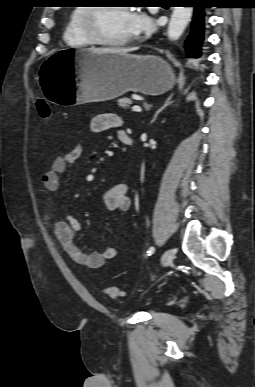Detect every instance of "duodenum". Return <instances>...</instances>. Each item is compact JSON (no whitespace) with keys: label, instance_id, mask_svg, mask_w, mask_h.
<instances>
[{"label":"duodenum","instance_id":"410a0bca","mask_svg":"<svg viewBox=\"0 0 255 387\" xmlns=\"http://www.w3.org/2000/svg\"><path fill=\"white\" fill-rule=\"evenodd\" d=\"M119 139L122 143H124L126 145H132V143H133L132 137L129 134H127L126 132L121 133L119 136Z\"/></svg>","mask_w":255,"mask_h":387}]
</instances>
